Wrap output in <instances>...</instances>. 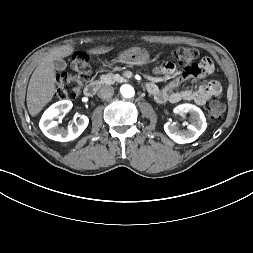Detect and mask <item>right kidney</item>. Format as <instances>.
Instances as JSON below:
<instances>
[{
	"label": "right kidney",
	"mask_w": 253,
	"mask_h": 253,
	"mask_svg": "<svg viewBox=\"0 0 253 253\" xmlns=\"http://www.w3.org/2000/svg\"><path fill=\"white\" fill-rule=\"evenodd\" d=\"M72 108V102L69 100H62L51 105L42 115L39 126L45 136L48 138L67 142L79 137L86 129L89 119L85 115H80L74 122V126L68 128H59L58 123L53 119L60 113H67Z\"/></svg>",
	"instance_id": "obj_1"
}]
</instances>
